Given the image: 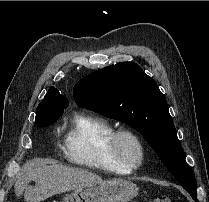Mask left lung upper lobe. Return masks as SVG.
Returning a JSON list of instances; mask_svg holds the SVG:
<instances>
[{
  "mask_svg": "<svg viewBox=\"0 0 209 202\" xmlns=\"http://www.w3.org/2000/svg\"><path fill=\"white\" fill-rule=\"evenodd\" d=\"M73 94L79 107L125 122L141 133L174 178L191 196L197 195L167 101L139 65L120 62L99 69L78 81Z\"/></svg>",
  "mask_w": 209,
  "mask_h": 202,
  "instance_id": "1",
  "label": "left lung upper lobe"
}]
</instances>
